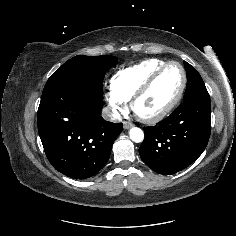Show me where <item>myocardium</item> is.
<instances>
[{
    "mask_svg": "<svg viewBox=\"0 0 236 236\" xmlns=\"http://www.w3.org/2000/svg\"><path fill=\"white\" fill-rule=\"evenodd\" d=\"M175 65L179 67L182 73V83L180 86V89L177 93V95L174 97V99L169 103L168 106H166L163 110L160 112L151 115V116H146L141 114L137 110V104L139 100L144 97L152 88V86L155 84V82L159 79V77L164 73V71L172 66ZM187 85V73L183 65L179 62L176 61H170L166 62L164 65H162L160 68H158L146 81L145 83L137 90V92L134 94L131 100V109L134 113V115L140 119L141 121L148 123V124H155L166 118L179 104L180 100L183 97L184 91L186 89Z\"/></svg>",
    "mask_w": 236,
    "mask_h": 236,
    "instance_id": "myocardium-1",
    "label": "myocardium"
}]
</instances>
